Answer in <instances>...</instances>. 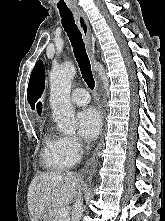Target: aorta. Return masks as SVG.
<instances>
[{"label": "aorta", "instance_id": "1", "mask_svg": "<svg viewBox=\"0 0 165 221\" xmlns=\"http://www.w3.org/2000/svg\"><path fill=\"white\" fill-rule=\"evenodd\" d=\"M75 73V66L66 62L50 74L52 117L57 129L67 135H73L76 131L74 109L70 101L71 84Z\"/></svg>", "mask_w": 165, "mask_h": 221}]
</instances>
